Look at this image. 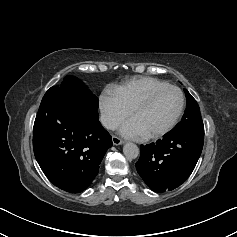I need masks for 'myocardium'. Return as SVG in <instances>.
Returning a JSON list of instances; mask_svg holds the SVG:
<instances>
[{
  "instance_id": "1",
  "label": "myocardium",
  "mask_w": 237,
  "mask_h": 237,
  "mask_svg": "<svg viewBox=\"0 0 237 237\" xmlns=\"http://www.w3.org/2000/svg\"><path fill=\"white\" fill-rule=\"evenodd\" d=\"M166 90H175L178 92V94L180 96V105H179L178 111L175 114V116L173 117V119L170 121V123L167 126H165L163 129H161L155 133L145 135L144 139H146V140L158 139V138L166 135L168 132H170L177 125V123L179 122V120L184 112V108H185L184 93L182 92V90L180 88L173 86V85H166L163 87H159V88H156V89L148 92L146 95H144L138 101H136L129 110V116L132 117L133 113L136 110L144 107L150 101H152L155 96H157L158 94H160Z\"/></svg>"
}]
</instances>
